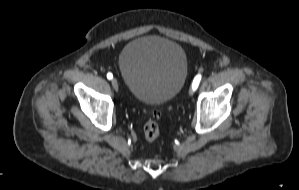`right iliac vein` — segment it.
<instances>
[{"label": "right iliac vein", "mask_w": 299, "mask_h": 190, "mask_svg": "<svg viewBox=\"0 0 299 190\" xmlns=\"http://www.w3.org/2000/svg\"><path fill=\"white\" fill-rule=\"evenodd\" d=\"M111 84H112V86L114 87V89H118V81H117V79L116 78H113L112 80H111Z\"/></svg>", "instance_id": "obj_1"}]
</instances>
